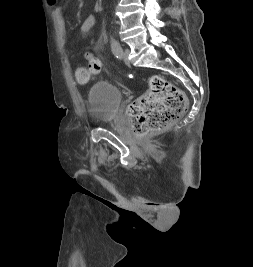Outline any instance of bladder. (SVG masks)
Listing matches in <instances>:
<instances>
[{
	"label": "bladder",
	"mask_w": 253,
	"mask_h": 267,
	"mask_svg": "<svg viewBox=\"0 0 253 267\" xmlns=\"http://www.w3.org/2000/svg\"><path fill=\"white\" fill-rule=\"evenodd\" d=\"M121 91L113 84L99 81L93 84L86 97V108L92 122L106 124L112 122L122 102Z\"/></svg>",
	"instance_id": "obj_1"
}]
</instances>
